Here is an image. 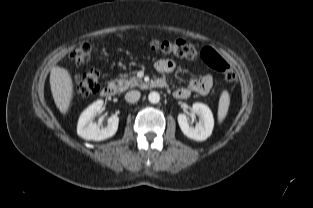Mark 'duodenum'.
<instances>
[{"label":"duodenum","instance_id":"410a0bca","mask_svg":"<svg viewBox=\"0 0 313 208\" xmlns=\"http://www.w3.org/2000/svg\"><path fill=\"white\" fill-rule=\"evenodd\" d=\"M143 86L145 88H164L166 86V81L163 79H155L152 81H149L147 83H144ZM117 93V87L113 83H108L105 86H103L101 90V95L103 97L109 98L115 96Z\"/></svg>","mask_w":313,"mask_h":208}]
</instances>
